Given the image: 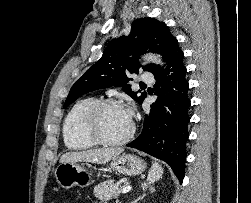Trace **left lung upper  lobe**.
<instances>
[{"instance_id": "5c2ea615", "label": "left lung upper lobe", "mask_w": 251, "mask_h": 203, "mask_svg": "<svg viewBox=\"0 0 251 203\" xmlns=\"http://www.w3.org/2000/svg\"><path fill=\"white\" fill-rule=\"evenodd\" d=\"M176 38L170 33L164 22L154 18H141L133 22L128 36L113 39L107 45L102 57L92 65L72 86L64 108L73 103L83 94L111 86L122 89L133 99L142 103L146 92L137 96L128 85L129 73H138V59L146 51H152L165 59L171 44ZM158 66L148 64L144 71L153 72Z\"/></svg>"}]
</instances>
